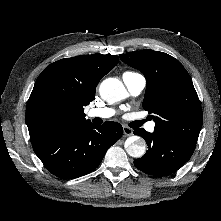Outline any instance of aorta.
<instances>
[{
    "mask_svg": "<svg viewBox=\"0 0 221 221\" xmlns=\"http://www.w3.org/2000/svg\"><path fill=\"white\" fill-rule=\"evenodd\" d=\"M100 96L108 103H115L126 97L127 92L122 82L116 78L105 79L99 88ZM145 141L132 137L126 146V152L131 157L140 158L145 154Z\"/></svg>",
    "mask_w": 221,
    "mask_h": 221,
    "instance_id": "aorta-1",
    "label": "aorta"
}]
</instances>
